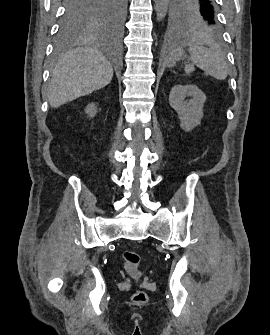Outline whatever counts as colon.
<instances>
[{"mask_svg":"<svg viewBox=\"0 0 270 335\" xmlns=\"http://www.w3.org/2000/svg\"><path fill=\"white\" fill-rule=\"evenodd\" d=\"M122 260L124 267L128 271H134L140 266L141 256L136 250L127 249L122 254ZM133 299L136 302H146L148 300V294L144 290H138L133 293Z\"/></svg>","mask_w":270,"mask_h":335,"instance_id":"colon-1","label":"colon"}]
</instances>
